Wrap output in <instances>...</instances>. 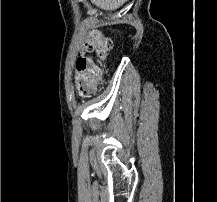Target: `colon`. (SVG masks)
I'll return each instance as SVG.
<instances>
[{"mask_svg":"<svg viewBox=\"0 0 217 202\" xmlns=\"http://www.w3.org/2000/svg\"><path fill=\"white\" fill-rule=\"evenodd\" d=\"M85 41H90L86 44V49H79V54H91L87 57L77 55L74 59L77 73L78 86H75V91H80L82 95H90L95 91H99V83L103 74V59L108 51L113 47V41L110 38L101 37V33L94 32L91 36H85Z\"/></svg>","mask_w":217,"mask_h":202,"instance_id":"5ec220e1","label":"colon"}]
</instances>
